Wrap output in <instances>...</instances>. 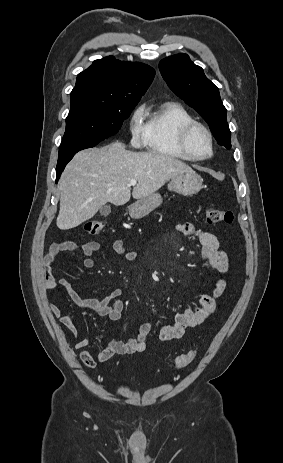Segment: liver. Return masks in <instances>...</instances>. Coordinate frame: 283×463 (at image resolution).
Listing matches in <instances>:
<instances>
[{"mask_svg":"<svg viewBox=\"0 0 283 463\" xmlns=\"http://www.w3.org/2000/svg\"><path fill=\"white\" fill-rule=\"evenodd\" d=\"M194 172L186 163L156 152H132L120 142L78 152L62 173L58 188L60 210L57 226L75 228L91 219L107 202L126 204L131 197L130 180L137 184L134 199L160 189L168 180Z\"/></svg>","mask_w":283,"mask_h":463,"instance_id":"1","label":"liver"}]
</instances>
